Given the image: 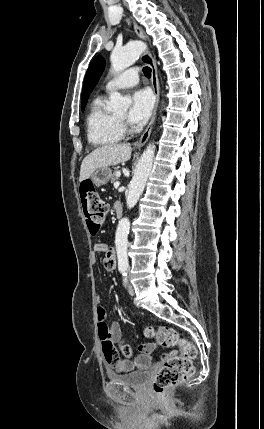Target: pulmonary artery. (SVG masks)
Here are the masks:
<instances>
[{"label":"pulmonary artery","mask_w":264,"mask_h":429,"mask_svg":"<svg viewBox=\"0 0 264 429\" xmlns=\"http://www.w3.org/2000/svg\"><path fill=\"white\" fill-rule=\"evenodd\" d=\"M139 82V73L137 69L131 68L109 80L105 85V91L110 92L116 89H123L135 86Z\"/></svg>","instance_id":"e3ab8cb5"}]
</instances>
